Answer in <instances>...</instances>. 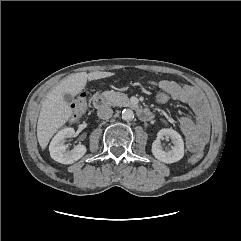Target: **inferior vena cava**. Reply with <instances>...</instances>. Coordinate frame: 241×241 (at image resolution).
<instances>
[{"instance_id": "obj_1", "label": "inferior vena cava", "mask_w": 241, "mask_h": 241, "mask_svg": "<svg viewBox=\"0 0 241 241\" xmlns=\"http://www.w3.org/2000/svg\"><path fill=\"white\" fill-rule=\"evenodd\" d=\"M112 114H113V110L109 106H103L97 111L98 117L104 120L111 118Z\"/></svg>"}]
</instances>
